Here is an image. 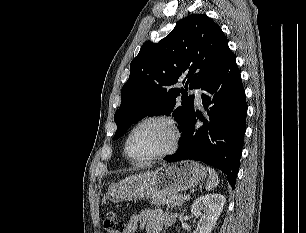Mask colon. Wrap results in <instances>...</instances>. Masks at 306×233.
<instances>
[{
	"instance_id": "5ec220e1",
	"label": "colon",
	"mask_w": 306,
	"mask_h": 233,
	"mask_svg": "<svg viewBox=\"0 0 306 233\" xmlns=\"http://www.w3.org/2000/svg\"><path fill=\"white\" fill-rule=\"evenodd\" d=\"M103 228L105 233H124L125 227L123 221L114 213L106 214L103 220Z\"/></svg>"
}]
</instances>
